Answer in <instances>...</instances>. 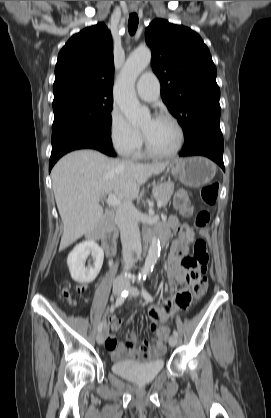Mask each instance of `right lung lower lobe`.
I'll return each mask as SVG.
<instances>
[{
  "instance_id": "98d812e1",
  "label": "right lung lower lobe",
  "mask_w": 271,
  "mask_h": 418,
  "mask_svg": "<svg viewBox=\"0 0 271 418\" xmlns=\"http://www.w3.org/2000/svg\"><path fill=\"white\" fill-rule=\"evenodd\" d=\"M111 131L102 127H90L63 133L52 138V153L49 171L64 154L76 149H96L107 155L116 156L110 138Z\"/></svg>"
}]
</instances>
